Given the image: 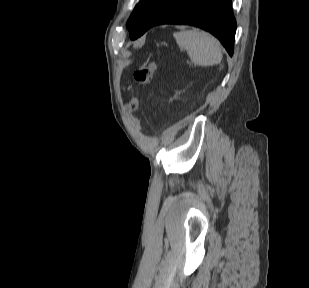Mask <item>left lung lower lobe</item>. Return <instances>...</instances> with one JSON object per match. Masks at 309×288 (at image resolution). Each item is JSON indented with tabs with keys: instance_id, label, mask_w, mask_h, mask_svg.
<instances>
[{
	"instance_id": "0a47b994",
	"label": "left lung lower lobe",
	"mask_w": 309,
	"mask_h": 288,
	"mask_svg": "<svg viewBox=\"0 0 309 288\" xmlns=\"http://www.w3.org/2000/svg\"><path fill=\"white\" fill-rule=\"evenodd\" d=\"M159 24H188L202 28L216 36L229 55H233L236 21L231 0H161L141 29L130 38L135 40Z\"/></svg>"
}]
</instances>
